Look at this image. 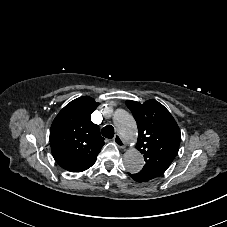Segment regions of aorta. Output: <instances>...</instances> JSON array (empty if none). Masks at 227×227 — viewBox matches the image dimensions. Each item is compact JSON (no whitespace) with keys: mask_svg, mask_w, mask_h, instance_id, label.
<instances>
[{"mask_svg":"<svg viewBox=\"0 0 227 227\" xmlns=\"http://www.w3.org/2000/svg\"><path fill=\"white\" fill-rule=\"evenodd\" d=\"M114 124L123 139L131 142L136 140V122L128 112L118 110L114 115ZM123 162L126 170L134 174L138 173L144 166L143 155L136 148H131L125 152Z\"/></svg>","mask_w":227,"mask_h":227,"instance_id":"obj_1","label":"aorta"}]
</instances>
